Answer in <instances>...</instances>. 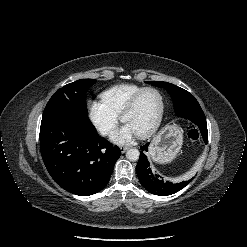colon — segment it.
I'll use <instances>...</instances> for the list:
<instances>
[{
    "mask_svg": "<svg viewBox=\"0 0 247 247\" xmlns=\"http://www.w3.org/2000/svg\"><path fill=\"white\" fill-rule=\"evenodd\" d=\"M188 136L194 142H198V141L201 140V132L199 131V129H197L195 127H190L189 128Z\"/></svg>",
    "mask_w": 247,
    "mask_h": 247,
    "instance_id": "5ec220e1",
    "label": "colon"
}]
</instances>
